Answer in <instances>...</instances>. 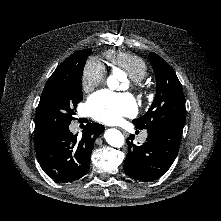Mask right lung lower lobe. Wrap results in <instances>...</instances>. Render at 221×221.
<instances>
[{"label": "right lung lower lobe", "instance_id": "98d812e1", "mask_svg": "<svg viewBox=\"0 0 221 221\" xmlns=\"http://www.w3.org/2000/svg\"><path fill=\"white\" fill-rule=\"evenodd\" d=\"M104 129L101 124L88 123L82 138H77L68 125L38 136L35 150L41 168L58 182L67 183L83 177L89 170L94 142Z\"/></svg>", "mask_w": 221, "mask_h": 221}]
</instances>
